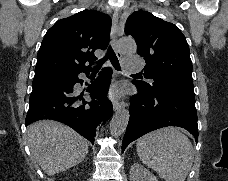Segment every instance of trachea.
<instances>
[{"label": "trachea", "instance_id": "3493384b", "mask_svg": "<svg viewBox=\"0 0 228 181\" xmlns=\"http://www.w3.org/2000/svg\"><path fill=\"white\" fill-rule=\"evenodd\" d=\"M108 58L110 59L111 64L113 65L115 70L120 71L121 67H120L119 60H118L117 56L115 55V53H114L113 49L111 48V46H109L105 57L97 62V65L94 67L93 71L97 72L98 70H100L102 64L105 63V61H107Z\"/></svg>", "mask_w": 228, "mask_h": 181}]
</instances>
